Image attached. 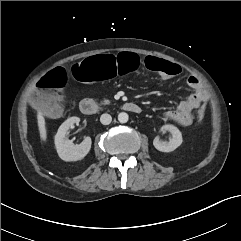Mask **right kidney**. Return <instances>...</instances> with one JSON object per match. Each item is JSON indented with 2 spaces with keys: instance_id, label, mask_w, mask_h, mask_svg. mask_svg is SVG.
<instances>
[{
  "instance_id": "1",
  "label": "right kidney",
  "mask_w": 241,
  "mask_h": 241,
  "mask_svg": "<svg viewBox=\"0 0 241 241\" xmlns=\"http://www.w3.org/2000/svg\"><path fill=\"white\" fill-rule=\"evenodd\" d=\"M80 118L71 117L68 118L59 127L57 134L55 135V147L59 157L67 162L78 161L83 159L91 149V138L85 137L80 144H74L66 137L68 130L74 126L75 123H79Z\"/></svg>"
}]
</instances>
